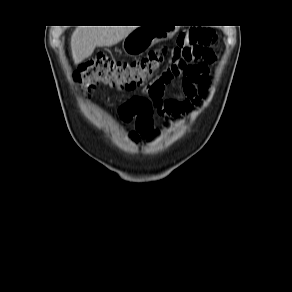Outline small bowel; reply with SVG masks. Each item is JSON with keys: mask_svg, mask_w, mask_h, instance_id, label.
I'll use <instances>...</instances> for the list:
<instances>
[{"mask_svg": "<svg viewBox=\"0 0 292 292\" xmlns=\"http://www.w3.org/2000/svg\"><path fill=\"white\" fill-rule=\"evenodd\" d=\"M216 62V56L212 49L210 55L196 64L190 72L183 76L182 89L184 93L183 99H165L164 86L157 97L155 113L164 118L165 124L180 121L185 115L190 114L197 108L203 98L207 95L210 79V66ZM153 134H157V130L152 125ZM133 142L147 138L146 133L135 123V130L130 133Z\"/></svg>", "mask_w": 292, "mask_h": 292, "instance_id": "1", "label": "small bowel"}]
</instances>
